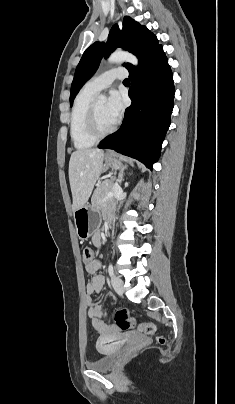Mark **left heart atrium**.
<instances>
[{
  "instance_id": "1",
  "label": "left heart atrium",
  "mask_w": 235,
  "mask_h": 404,
  "mask_svg": "<svg viewBox=\"0 0 235 404\" xmlns=\"http://www.w3.org/2000/svg\"><path fill=\"white\" fill-rule=\"evenodd\" d=\"M124 110V98L117 92L112 91L105 103V112L109 120L115 124L121 117Z\"/></svg>"
}]
</instances>
